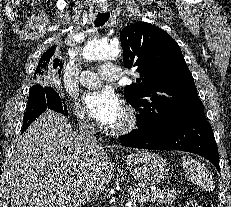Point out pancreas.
<instances>
[{
    "instance_id": "1",
    "label": "pancreas",
    "mask_w": 231,
    "mask_h": 207,
    "mask_svg": "<svg viewBox=\"0 0 231 207\" xmlns=\"http://www.w3.org/2000/svg\"><path fill=\"white\" fill-rule=\"evenodd\" d=\"M130 199L135 203L136 201H142L143 198H146L145 201L159 203V204H172L176 198V191L174 190H148L144 188H131L129 190Z\"/></svg>"
}]
</instances>
